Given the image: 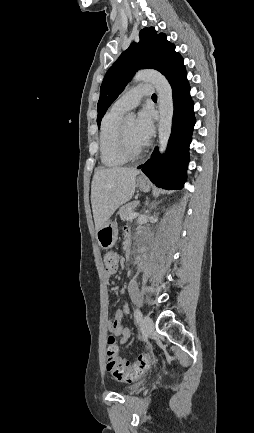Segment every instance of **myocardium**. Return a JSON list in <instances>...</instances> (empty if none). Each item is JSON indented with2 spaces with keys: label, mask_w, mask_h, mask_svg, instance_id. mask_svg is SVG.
Returning a JSON list of instances; mask_svg holds the SVG:
<instances>
[{
  "label": "myocardium",
  "mask_w": 254,
  "mask_h": 433,
  "mask_svg": "<svg viewBox=\"0 0 254 433\" xmlns=\"http://www.w3.org/2000/svg\"><path fill=\"white\" fill-rule=\"evenodd\" d=\"M118 145H119L120 152L128 160L137 159V158L141 157L143 155V153L145 152V146H143L139 150H134L130 147V145L127 141L126 135H125L123 123H120L119 129H118Z\"/></svg>",
  "instance_id": "1"
}]
</instances>
